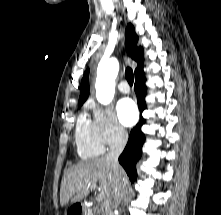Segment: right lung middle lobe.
Masks as SVG:
<instances>
[{
	"mask_svg": "<svg viewBox=\"0 0 221 215\" xmlns=\"http://www.w3.org/2000/svg\"><path fill=\"white\" fill-rule=\"evenodd\" d=\"M82 104H83V102H80V103H79V106H81Z\"/></svg>",
	"mask_w": 221,
	"mask_h": 215,
	"instance_id": "dd1d6c3e",
	"label": "right lung middle lobe"
}]
</instances>
